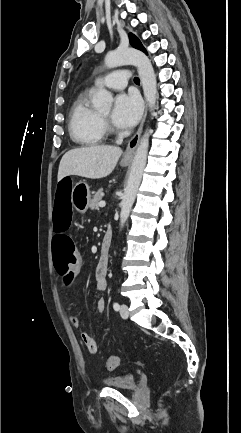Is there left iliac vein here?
<instances>
[{
  "label": "left iliac vein",
  "instance_id": "1",
  "mask_svg": "<svg viewBox=\"0 0 241 433\" xmlns=\"http://www.w3.org/2000/svg\"><path fill=\"white\" fill-rule=\"evenodd\" d=\"M120 315L123 319H127L129 316L128 307L126 304H122L120 307Z\"/></svg>",
  "mask_w": 241,
  "mask_h": 433
}]
</instances>
